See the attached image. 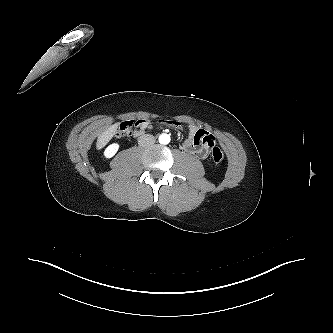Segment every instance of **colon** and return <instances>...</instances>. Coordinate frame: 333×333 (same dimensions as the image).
Returning <instances> with one entry per match:
<instances>
[{
	"instance_id": "obj_1",
	"label": "colon",
	"mask_w": 333,
	"mask_h": 333,
	"mask_svg": "<svg viewBox=\"0 0 333 333\" xmlns=\"http://www.w3.org/2000/svg\"><path fill=\"white\" fill-rule=\"evenodd\" d=\"M136 126V123L133 121H124L122 122L116 132L117 137L123 138L128 137L132 134L133 127ZM224 159L223 151L216 145L212 146L211 149V160L214 164H220Z\"/></svg>"
}]
</instances>
